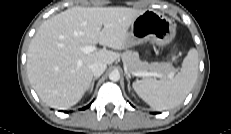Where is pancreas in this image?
I'll use <instances>...</instances> for the list:
<instances>
[{"mask_svg": "<svg viewBox=\"0 0 231 134\" xmlns=\"http://www.w3.org/2000/svg\"><path fill=\"white\" fill-rule=\"evenodd\" d=\"M124 67L131 74L135 72H156L162 76H168L175 69L170 62L141 61L138 52L126 50L121 54Z\"/></svg>", "mask_w": 231, "mask_h": 134, "instance_id": "1", "label": "pancreas"}]
</instances>
